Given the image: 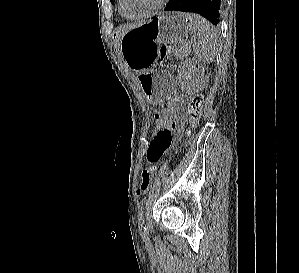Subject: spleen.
<instances>
[{
  "mask_svg": "<svg viewBox=\"0 0 299 273\" xmlns=\"http://www.w3.org/2000/svg\"><path fill=\"white\" fill-rule=\"evenodd\" d=\"M185 18L193 34L191 42L196 58L207 64L212 63L218 52L217 30L200 15L188 13Z\"/></svg>",
  "mask_w": 299,
  "mask_h": 273,
  "instance_id": "spleen-1",
  "label": "spleen"
}]
</instances>
